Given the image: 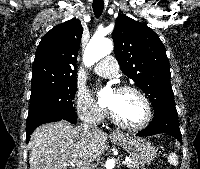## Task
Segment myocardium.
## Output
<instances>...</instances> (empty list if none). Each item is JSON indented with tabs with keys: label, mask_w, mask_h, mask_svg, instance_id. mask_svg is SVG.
<instances>
[{
	"label": "myocardium",
	"mask_w": 200,
	"mask_h": 169,
	"mask_svg": "<svg viewBox=\"0 0 200 169\" xmlns=\"http://www.w3.org/2000/svg\"><path fill=\"white\" fill-rule=\"evenodd\" d=\"M117 92H134L137 95H139L141 97V99L143 100L145 107H146V118L143 121V123H141L140 125L137 126H131L128 125L126 123H124L123 121H121L119 119V117L117 116V114L115 113V111L108 106V112H109V116L111 121L116 124L117 126L129 130V131H140L145 129L151 122L152 117H153V109H152V105L151 102L149 100V98L147 97V95L138 87L134 86V85H122L119 86L116 89Z\"/></svg>",
	"instance_id": "1"
}]
</instances>
